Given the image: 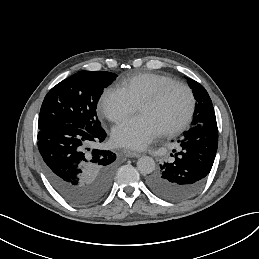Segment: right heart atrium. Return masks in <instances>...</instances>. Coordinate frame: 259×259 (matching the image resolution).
Segmentation results:
<instances>
[{"instance_id":"right-heart-atrium-1","label":"right heart atrium","mask_w":259,"mask_h":259,"mask_svg":"<svg viewBox=\"0 0 259 259\" xmlns=\"http://www.w3.org/2000/svg\"><path fill=\"white\" fill-rule=\"evenodd\" d=\"M99 105L104 117L118 122L132 114L136 104L116 88L104 89L99 98Z\"/></svg>"}]
</instances>
